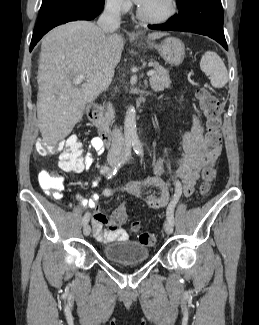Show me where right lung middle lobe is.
Returning a JSON list of instances; mask_svg holds the SVG:
<instances>
[{"mask_svg": "<svg viewBox=\"0 0 259 325\" xmlns=\"http://www.w3.org/2000/svg\"><path fill=\"white\" fill-rule=\"evenodd\" d=\"M63 1H70V0H42V5L40 8V13L43 12L45 9H47L48 7L56 4V3H60ZM74 1H78V0H74ZM84 1V0H81ZM97 1H102V0H97Z\"/></svg>", "mask_w": 259, "mask_h": 325, "instance_id": "1", "label": "right lung middle lobe"}]
</instances>
